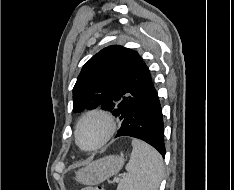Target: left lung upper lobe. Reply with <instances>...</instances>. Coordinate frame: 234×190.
Wrapping results in <instances>:
<instances>
[{
  "mask_svg": "<svg viewBox=\"0 0 234 190\" xmlns=\"http://www.w3.org/2000/svg\"><path fill=\"white\" fill-rule=\"evenodd\" d=\"M150 80L149 69L136 51L106 47L84 64L73 88V111L101 106L123 120Z\"/></svg>",
  "mask_w": 234,
  "mask_h": 190,
  "instance_id": "5c2ea615",
  "label": "left lung upper lobe"
}]
</instances>
